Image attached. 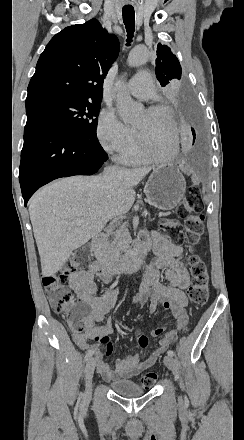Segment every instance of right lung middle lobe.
Wrapping results in <instances>:
<instances>
[{
	"mask_svg": "<svg viewBox=\"0 0 244 440\" xmlns=\"http://www.w3.org/2000/svg\"><path fill=\"white\" fill-rule=\"evenodd\" d=\"M101 99L48 95L26 99L27 123H47L75 135L97 139Z\"/></svg>",
	"mask_w": 244,
	"mask_h": 440,
	"instance_id": "1",
	"label": "right lung middle lobe"
}]
</instances>
